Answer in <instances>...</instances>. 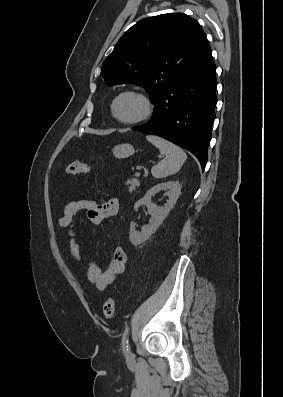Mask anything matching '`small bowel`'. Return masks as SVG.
I'll return each mask as SVG.
<instances>
[{
  "mask_svg": "<svg viewBox=\"0 0 283 397\" xmlns=\"http://www.w3.org/2000/svg\"><path fill=\"white\" fill-rule=\"evenodd\" d=\"M120 203L118 199L112 198L96 202L92 199L82 197L71 200L64 208L62 216L57 223L62 228L68 229L69 252L77 261L81 260V248L74 228V219L79 211H86L88 220L93 224H101L105 219L116 215L119 211ZM127 254L123 247L116 246L113 257L105 270H102L96 263L88 265L87 277L95 287L103 291L111 285L115 278L125 270Z\"/></svg>",
  "mask_w": 283,
  "mask_h": 397,
  "instance_id": "c3829d8e",
  "label": "small bowel"
}]
</instances>
